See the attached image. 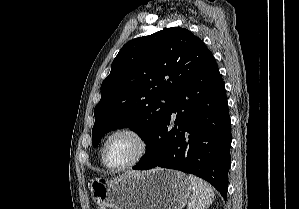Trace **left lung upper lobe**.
Masks as SVG:
<instances>
[{
    "instance_id": "1",
    "label": "left lung upper lobe",
    "mask_w": 299,
    "mask_h": 209,
    "mask_svg": "<svg viewBox=\"0 0 299 209\" xmlns=\"http://www.w3.org/2000/svg\"><path fill=\"white\" fill-rule=\"evenodd\" d=\"M213 58L200 38L180 27L127 42L101 85L94 109L92 144L111 130L128 127L148 143L171 98Z\"/></svg>"
}]
</instances>
